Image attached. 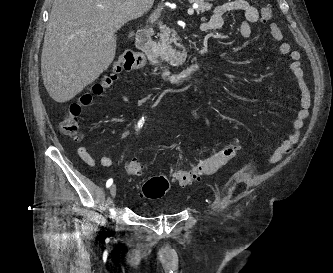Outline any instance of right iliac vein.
I'll return each mask as SVG.
<instances>
[{
	"mask_svg": "<svg viewBox=\"0 0 333 273\" xmlns=\"http://www.w3.org/2000/svg\"><path fill=\"white\" fill-rule=\"evenodd\" d=\"M116 191H117L116 185L113 184V185L110 187V195L112 196V198H114V197L116 196Z\"/></svg>",
	"mask_w": 333,
	"mask_h": 273,
	"instance_id": "obj_1",
	"label": "right iliac vein"
}]
</instances>
